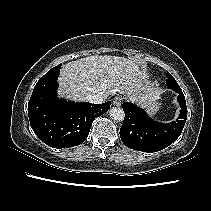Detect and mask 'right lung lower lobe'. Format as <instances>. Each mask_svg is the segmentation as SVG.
Listing matches in <instances>:
<instances>
[{
  "label": "right lung lower lobe",
  "instance_id": "1",
  "mask_svg": "<svg viewBox=\"0 0 211 211\" xmlns=\"http://www.w3.org/2000/svg\"><path fill=\"white\" fill-rule=\"evenodd\" d=\"M61 65L47 72L35 85L28 103L34 133L53 148L80 145L87 138L95 118L110 109V102H70L56 95Z\"/></svg>",
  "mask_w": 211,
  "mask_h": 211
}]
</instances>
